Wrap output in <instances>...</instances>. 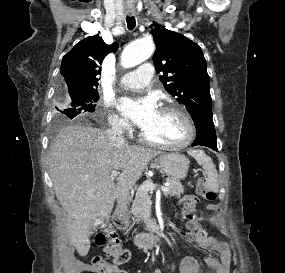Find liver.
<instances>
[{"mask_svg":"<svg viewBox=\"0 0 285 273\" xmlns=\"http://www.w3.org/2000/svg\"><path fill=\"white\" fill-rule=\"evenodd\" d=\"M159 153L117 142L91 126L60 131L49 153L54 191L71 223L69 236L80 256L90 249L89 234L110 215L115 200L126 208L129 189ZM112 170H121L115 185Z\"/></svg>","mask_w":285,"mask_h":273,"instance_id":"1","label":"liver"}]
</instances>
